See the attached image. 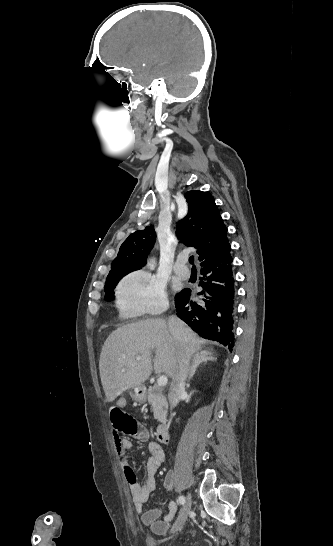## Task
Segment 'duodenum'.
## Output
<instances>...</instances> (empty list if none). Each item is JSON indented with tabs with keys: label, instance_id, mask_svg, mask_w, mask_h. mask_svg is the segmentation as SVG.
<instances>
[{
	"label": "duodenum",
	"instance_id": "duodenum-1",
	"mask_svg": "<svg viewBox=\"0 0 333 546\" xmlns=\"http://www.w3.org/2000/svg\"><path fill=\"white\" fill-rule=\"evenodd\" d=\"M157 441L166 444L170 441V429L167 424L161 425L156 430Z\"/></svg>",
	"mask_w": 333,
	"mask_h": 546
}]
</instances>
